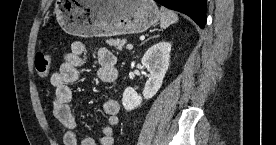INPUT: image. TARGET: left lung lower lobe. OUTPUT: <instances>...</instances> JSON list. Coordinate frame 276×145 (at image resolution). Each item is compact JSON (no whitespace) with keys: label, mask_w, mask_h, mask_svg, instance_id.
<instances>
[{"label":"left lung lower lobe","mask_w":276,"mask_h":145,"mask_svg":"<svg viewBox=\"0 0 276 145\" xmlns=\"http://www.w3.org/2000/svg\"><path fill=\"white\" fill-rule=\"evenodd\" d=\"M165 7L179 11L192 18L200 28L206 22V0H155Z\"/></svg>","instance_id":"1"}]
</instances>
